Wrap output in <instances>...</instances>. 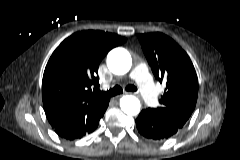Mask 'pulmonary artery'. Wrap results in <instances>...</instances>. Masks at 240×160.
<instances>
[{
	"mask_svg": "<svg viewBox=\"0 0 240 160\" xmlns=\"http://www.w3.org/2000/svg\"><path fill=\"white\" fill-rule=\"evenodd\" d=\"M129 77L137 82L142 98L150 106H155L158 99L157 88L148 73L147 65L144 63L137 64L131 71Z\"/></svg>",
	"mask_w": 240,
	"mask_h": 160,
	"instance_id": "e3ab8cb5",
	"label": "pulmonary artery"
}]
</instances>
